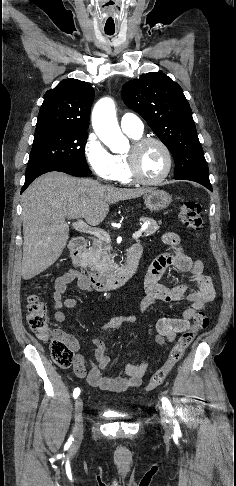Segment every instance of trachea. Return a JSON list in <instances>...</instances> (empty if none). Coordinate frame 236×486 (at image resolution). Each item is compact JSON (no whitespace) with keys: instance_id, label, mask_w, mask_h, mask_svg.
Segmentation results:
<instances>
[{"instance_id":"3493384b","label":"trachea","mask_w":236,"mask_h":486,"mask_svg":"<svg viewBox=\"0 0 236 486\" xmlns=\"http://www.w3.org/2000/svg\"><path fill=\"white\" fill-rule=\"evenodd\" d=\"M105 33H106L107 35H113V34H114V31H105Z\"/></svg>"}]
</instances>
